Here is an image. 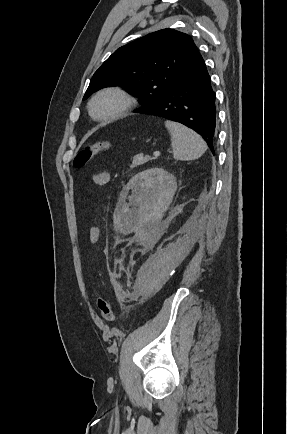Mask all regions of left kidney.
Segmentation results:
<instances>
[{
    "mask_svg": "<svg viewBox=\"0 0 287 434\" xmlns=\"http://www.w3.org/2000/svg\"><path fill=\"white\" fill-rule=\"evenodd\" d=\"M132 189L130 201L137 206L133 221L148 218L158 208L165 210L171 203L177 182L174 175L162 168H151L135 175L127 184ZM125 211L129 212L126 205Z\"/></svg>",
    "mask_w": 287,
    "mask_h": 434,
    "instance_id": "1",
    "label": "left kidney"
}]
</instances>
